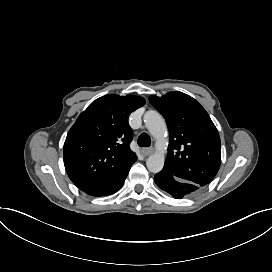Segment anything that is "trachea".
Returning <instances> with one entry per match:
<instances>
[{"label":"trachea","mask_w":272,"mask_h":272,"mask_svg":"<svg viewBox=\"0 0 272 272\" xmlns=\"http://www.w3.org/2000/svg\"><path fill=\"white\" fill-rule=\"evenodd\" d=\"M138 145L140 147H149L151 145V139L150 136L147 133H142L138 137Z\"/></svg>","instance_id":"trachea-1"}]
</instances>
